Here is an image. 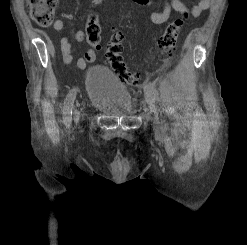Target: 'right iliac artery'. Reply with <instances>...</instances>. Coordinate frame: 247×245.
<instances>
[{
    "instance_id": "right-iliac-artery-1",
    "label": "right iliac artery",
    "mask_w": 247,
    "mask_h": 245,
    "mask_svg": "<svg viewBox=\"0 0 247 245\" xmlns=\"http://www.w3.org/2000/svg\"><path fill=\"white\" fill-rule=\"evenodd\" d=\"M76 93H77V89L73 88L72 90H70V92L67 94L66 99L64 101V108H63V120L64 123L69 126L71 123V119H72V108H73V104H74V100L76 98Z\"/></svg>"
}]
</instances>
